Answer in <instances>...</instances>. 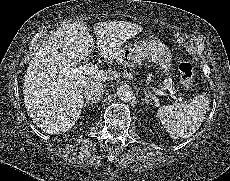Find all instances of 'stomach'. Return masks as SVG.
<instances>
[{"instance_id":"obj_1","label":"stomach","mask_w":230,"mask_h":181,"mask_svg":"<svg viewBox=\"0 0 230 181\" xmlns=\"http://www.w3.org/2000/svg\"><path fill=\"white\" fill-rule=\"evenodd\" d=\"M150 55H158L160 69L166 75L173 69L170 56L164 52V50L162 51L156 42L148 39L141 40L139 37L133 44L124 46L118 60L124 65L136 66L140 64L145 57Z\"/></svg>"}]
</instances>
